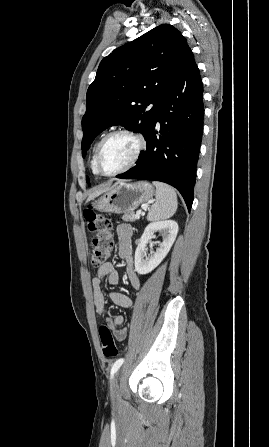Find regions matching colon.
<instances>
[{
    "mask_svg": "<svg viewBox=\"0 0 269 447\" xmlns=\"http://www.w3.org/2000/svg\"><path fill=\"white\" fill-rule=\"evenodd\" d=\"M89 232L93 235L90 262L93 267H100L108 261L113 245L112 226L103 214L88 207L83 211ZM98 336L102 352L106 358H116L119 355L118 347L114 341L112 329L107 324L98 327Z\"/></svg>",
    "mask_w": 269,
    "mask_h": 447,
    "instance_id": "obj_1",
    "label": "colon"
}]
</instances>
